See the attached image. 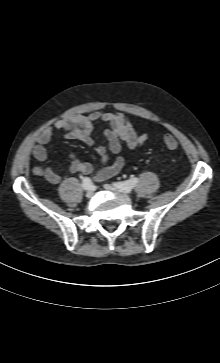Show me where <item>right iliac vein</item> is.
<instances>
[{
    "label": "right iliac vein",
    "mask_w": 220,
    "mask_h": 363,
    "mask_svg": "<svg viewBox=\"0 0 220 363\" xmlns=\"http://www.w3.org/2000/svg\"><path fill=\"white\" fill-rule=\"evenodd\" d=\"M92 196H93V191L92 190L87 191L86 197L91 198Z\"/></svg>",
    "instance_id": "obj_1"
}]
</instances>
